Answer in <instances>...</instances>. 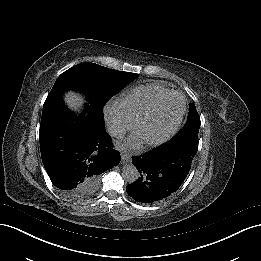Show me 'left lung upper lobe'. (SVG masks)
Instances as JSON below:
<instances>
[{
    "mask_svg": "<svg viewBox=\"0 0 261 261\" xmlns=\"http://www.w3.org/2000/svg\"><path fill=\"white\" fill-rule=\"evenodd\" d=\"M200 128V117L198 116L196 107L194 104L190 103L189 113L187 122L185 123L182 130L178 135L173 138L174 141H184L196 149L198 148V132Z\"/></svg>",
    "mask_w": 261,
    "mask_h": 261,
    "instance_id": "1",
    "label": "left lung upper lobe"
}]
</instances>
